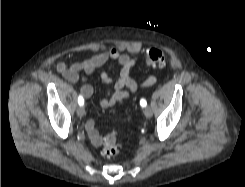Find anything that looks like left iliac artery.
<instances>
[{
    "label": "left iliac artery",
    "instance_id": "44dca946",
    "mask_svg": "<svg viewBox=\"0 0 245 187\" xmlns=\"http://www.w3.org/2000/svg\"><path fill=\"white\" fill-rule=\"evenodd\" d=\"M140 105H141L142 107H145V106L147 105L146 100H145V99H141V100H140Z\"/></svg>",
    "mask_w": 245,
    "mask_h": 187
}]
</instances>
